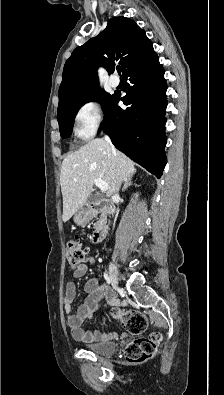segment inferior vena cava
I'll use <instances>...</instances> for the list:
<instances>
[{
    "instance_id": "1",
    "label": "inferior vena cava",
    "mask_w": 224,
    "mask_h": 395,
    "mask_svg": "<svg viewBox=\"0 0 224 395\" xmlns=\"http://www.w3.org/2000/svg\"><path fill=\"white\" fill-rule=\"evenodd\" d=\"M105 141L108 142L109 144H111V140H110V138L108 136H105ZM119 188H120V186H118L116 192L113 194V196H112L113 200H116V199L119 198Z\"/></svg>"
}]
</instances>
